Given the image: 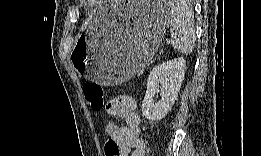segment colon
Returning <instances> with one entry per match:
<instances>
[{
	"label": "colon",
	"instance_id": "5ec220e1",
	"mask_svg": "<svg viewBox=\"0 0 261 156\" xmlns=\"http://www.w3.org/2000/svg\"><path fill=\"white\" fill-rule=\"evenodd\" d=\"M83 93L89 107L93 111H100L104 107V91L103 88L95 82H87L83 86ZM106 156H118L121 155L119 146L117 143L108 139L105 143Z\"/></svg>",
	"mask_w": 261,
	"mask_h": 156
}]
</instances>
